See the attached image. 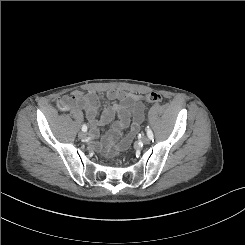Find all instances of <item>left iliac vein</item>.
Listing matches in <instances>:
<instances>
[{"label":"left iliac vein","instance_id":"obj_1","mask_svg":"<svg viewBox=\"0 0 245 245\" xmlns=\"http://www.w3.org/2000/svg\"><path fill=\"white\" fill-rule=\"evenodd\" d=\"M150 138L148 137V136H144V137H142V142L144 143V144H149L150 143Z\"/></svg>","mask_w":245,"mask_h":245}]
</instances>
